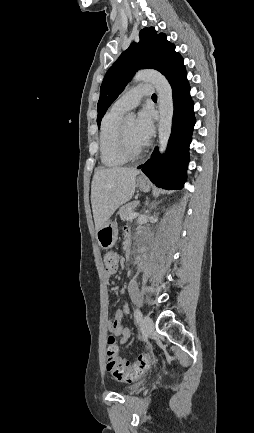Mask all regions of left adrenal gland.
Segmentation results:
<instances>
[{"label": "left adrenal gland", "mask_w": 254, "mask_h": 433, "mask_svg": "<svg viewBox=\"0 0 254 433\" xmlns=\"http://www.w3.org/2000/svg\"><path fill=\"white\" fill-rule=\"evenodd\" d=\"M155 207H156V205H155V204H154V205L152 204V207H151V208H155Z\"/></svg>", "instance_id": "left-adrenal-gland-1"}]
</instances>
